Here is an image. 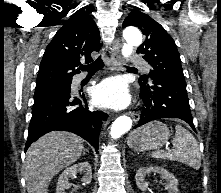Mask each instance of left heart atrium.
Listing matches in <instances>:
<instances>
[{
    "instance_id": "left-heart-atrium-1",
    "label": "left heart atrium",
    "mask_w": 221,
    "mask_h": 193,
    "mask_svg": "<svg viewBox=\"0 0 221 193\" xmlns=\"http://www.w3.org/2000/svg\"><path fill=\"white\" fill-rule=\"evenodd\" d=\"M93 100L100 107L123 109L131 100L126 83L119 78H110L98 84L93 90Z\"/></svg>"
}]
</instances>
